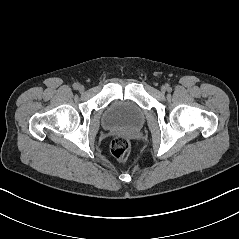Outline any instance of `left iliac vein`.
I'll use <instances>...</instances> for the list:
<instances>
[{
	"instance_id": "obj_1",
	"label": "left iliac vein",
	"mask_w": 239,
	"mask_h": 239,
	"mask_svg": "<svg viewBox=\"0 0 239 239\" xmlns=\"http://www.w3.org/2000/svg\"><path fill=\"white\" fill-rule=\"evenodd\" d=\"M166 90H167V87H166V86H162V87H161V91H162V92H165Z\"/></svg>"
}]
</instances>
